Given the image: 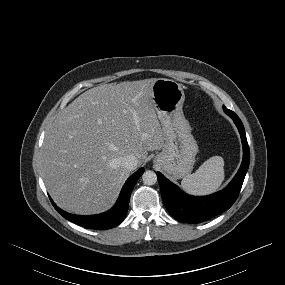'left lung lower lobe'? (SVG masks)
Listing matches in <instances>:
<instances>
[{"instance_id": "1", "label": "left lung lower lobe", "mask_w": 285, "mask_h": 285, "mask_svg": "<svg viewBox=\"0 0 285 285\" xmlns=\"http://www.w3.org/2000/svg\"><path fill=\"white\" fill-rule=\"evenodd\" d=\"M227 114L233 119L241 135L243 161L237 174L225 189L209 196H190L157 172L164 205L168 212L180 222L201 223L208 220L229 209L239 195L249 167L250 151L241 120L235 113Z\"/></svg>"}]
</instances>
